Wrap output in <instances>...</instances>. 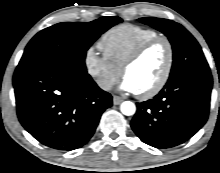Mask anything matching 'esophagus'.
Instances as JSON below:
<instances>
[{
    "label": "esophagus",
    "instance_id": "obj_1",
    "mask_svg": "<svg viewBox=\"0 0 220 173\" xmlns=\"http://www.w3.org/2000/svg\"><path fill=\"white\" fill-rule=\"evenodd\" d=\"M123 102V99L121 98V97H119V96H113V104L114 105H119V104H121Z\"/></svg>",
    "mask_w": 220,
    "mask_h": 173
}]
</instances>
